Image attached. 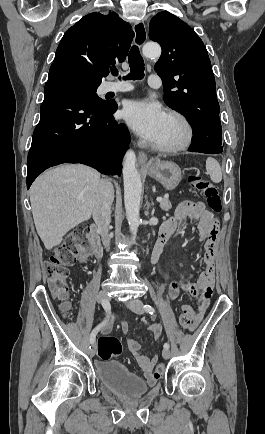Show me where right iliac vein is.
Masks as SVG:
<instances>
[{"label":"right iliac vein","mask_w":265,"mask_h":434,"mask_svg":"<svg viewBox=\"0 0 265 434\" xmlns=\"http://www.w3.org/2000/svg\"><path fill=\"white\" fill-rule=\"evenodd\" d=\"M97 299H98V301L101 302V303H102L103 301L109 303V296H108L105 292H100V293L98 294V296H97ZM96 351H97V344H96V343H93L92 346H91V348H90V355L93 357V356L95 355Z\"/></svg>","instance_id":"obj_1"}]
</instances>
